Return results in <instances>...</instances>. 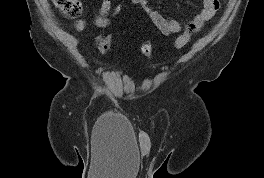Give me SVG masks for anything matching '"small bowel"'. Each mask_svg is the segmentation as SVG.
Segmentation results:
<instances>
[{
  "instance_id": "small-bowel-1",
  "label": "small bowel",
  "mask_w": 264,
  "mask_h": 178,
  "mask_svg": "<svg viewBox=\"0 0 264 178\" xmlns=\"http://www.w3.org/2000/svg\"><path fill=\"white\" fill-rule=\"evenodd\" d=\"M127 4L139 6L154 26L165 36L177 34L182 30L181 23L170 13L167 4L165 5L166 15L152 8L148 0H128ZM219 6V0H203L202 10L186 25L185 32L191 35L197 33L207 21L214 17ZM124 7L125 5H120L112 8V0H101L98 14L93 20L94 26L99 29L106 28L110 23V17L120 14ZM86 27L87 23L84 19H78L75 22V28L79 32H83Z\"/></svg>"
}]
</instances>
